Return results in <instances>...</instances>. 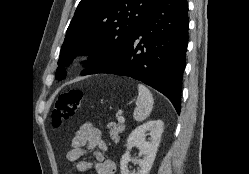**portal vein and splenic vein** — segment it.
<instances>
[{
  "label": "portal vein and splenic vein",
  "mask_w": 249,
  "mask_h": 174,
  "mask_svg": "<svg viewBox=\"0 0 249 174\" xmlns=\"http://www.w3.org/2000/svg\"><path fill=\"white\" fill-rule=\"evenodd\" d=\"M118 122L123 124L125 122L124 117L123 116H119L118 117Z\"/></svg>",
  "instance_id": "18ae733b"
}]
</instances>
